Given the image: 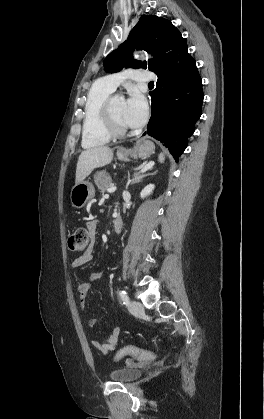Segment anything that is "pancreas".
Returning <instances> with one entry per match:
<instances>
[{"mask_svg":"<svg viewBox=\"0 0 264 419\" xmlns=\"http://www.w3.org/2000/svg\"><path fill=\"white\" fill-rule=\"evenodd\" d=\"M94 182L97 185L98 189L104 193L108 191V188L111 186L112 180L109 174L103 170V171H98L95 174Z\"/></svg>","mask_w":264,"mask_h":419,"instance_id":"obj_1","label":"pancreas"}]
</instances>
